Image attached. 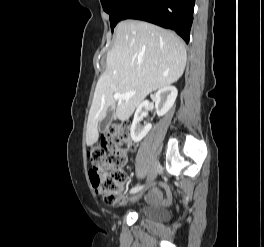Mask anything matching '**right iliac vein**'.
Here are the masks:
<instances>
[{
    "instance_id": "1",
    "label": "right iliac vein",
    "mask_w": 264,
    "mask_h": 247,
    "mask_svg": "<svg viewBox=\"0 0 264 247\" xmlns=\"http://www.w3.org/2000/svg\"><path fill=\"white\" fill-rule=\"evenodd\" d=\"M158 170H159V164L156 162L150 170L149 177H148L149 183H151L155 179V177L157 176ZM143 193L144 191H140L139 193H137L135 196L132 197V200L139 199L143 195Z\"/></svg>"
}]
</instances>
